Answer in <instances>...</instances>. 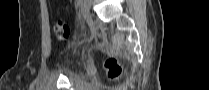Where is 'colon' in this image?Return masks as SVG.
<instances>
[{"mask_svg": "<svg viewBox=\"0 0 209 90\" xmlns=\"http://www.w3.org/2000/svg\"><path fill=\"white\" fill-rule=\"evenodd\" d=\"M56 39L60 42L66 41L70 36L69 27L62 21H57L54 25ZM106 69L109 78L117 80L122 74V66L116 58H109L106 61Z\"/></svg>", "mask_w": 209, "mask_h": 90, "instance_id": "obj_1", "label": "colon"}]
</instances>
